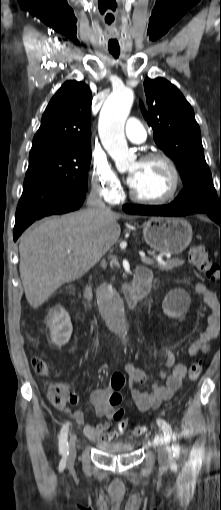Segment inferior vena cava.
I'll return each instance as SVG.
<instances>
[{"label":"inferior vena cava","instance_id":"1","mask_svg":"<svg viewBox=\"0 0 221 510\" xmlns=\"http://www.w3.org/2000/svg\"><path fill=\"white\" fill-rule=\"evenodd\" d=\"M87 205L97 209L101 213H107L110 211V208H108L102 201L101 195L97 190H91L87 199Z\"/></svg>","mask_w":221,"mask_h":510}]
</instances>
